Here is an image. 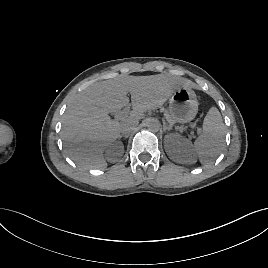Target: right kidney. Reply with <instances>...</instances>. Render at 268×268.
<instances>
[{"label": "right kidney", "instance_id": "1", "mask_svg": "<svg viewBox=\"0 0 268 268\" xmlns=\"http://www.w3.org/2000/svg\"><path fill=\"white\" fill-rule=\"evenodd\" d=\"M123 153V143L120 141H116L108 146L107 150L105 151V157L109 162L115 163L120 160V158L123 156Z\"/></svg>", "mask_w": 268, "mask_h": 268}]
</instances>
